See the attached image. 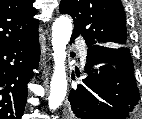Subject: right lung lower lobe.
I'll use <instances>...</instances> for the list:
<instances>
[{
    "label": "right lung lower lobe",
    "instance_id": "obj_1",
    "mask_svg": "<svg viewBox=\"0 0 142 119\" xmlns=\"http://www.w3.org/2000/svg\"><path fill=\"white\" fill-rule=\"evenodd\" d=\"M39 57L38 32L27 40L0 48V119H21L27 84Z\"/></svg>",
    "mask_w": 142,
    "mask_h": 119
}]
</instances>
